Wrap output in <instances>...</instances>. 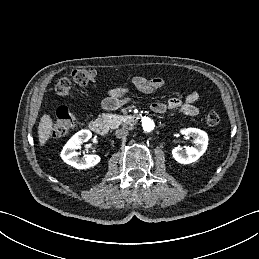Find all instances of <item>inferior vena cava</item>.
I'll list each match as a JSON object with an SVG mask.
<instances>
[{
  "mask_svg": "<svg viewBox=\"0 0 259 259\" xmlns=\"http://www.w3.org/2000/svg\"><path fill=\"white\" fill-rule=\"evenodd\" d=\"M117 138H125L128 135V131L126 129H117L115 132Z\"/></svg>",
  "mask_w": 259,
  "mask_h": 259,
  "instance_id": "obj_1",
  "label": "inferior vena cava"
}]
</instances>
